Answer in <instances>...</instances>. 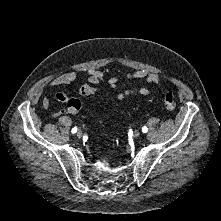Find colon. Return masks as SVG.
Here are the masks:
<instances>
[{
	"label": "colon",
	"mask_w": 221,
	"mask_h": 221,
	"mask_svg": "<svg viewBox=\"0 0 221 221\" xmlns=\"http://www.w3.org/2000/svg\"><path fill=\"white\" fill-rule=\"evenodd\" d=\"M97 90L96 85H92V84H87V85H83L80 88V96H89L91 94H93L95 91ZM164 107L169 110L172 111L175 109L176 106V102H175V95L173 92H168L165 96H164ZM82 106L81 101L79 98L74 97L71 102H70V107L73 110H78L80 109Z\"/></svg>",
	"instance_id": "1"
}]
</instances>
